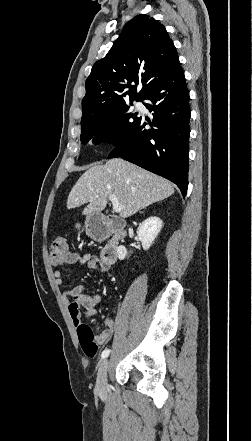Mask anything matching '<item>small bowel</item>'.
Returning a JSON list of instances; mask_svg holds the SVG:
<instances>
[{"label": "small bowel", "mask_w": 252, "mask_h": 441, "mask_svg": "<svg viewBox=\"0 0 252 441\" xmlns=\"http://www.w3.org/2000/svg\"><path fill=\"white\" fill-rule=\"evenodd\" d=\"M76 263H85L90 270L104 272L110 265L106 264L97 253L80 252L69 253L61 262L62 266L73 265ZM55 283L57 286L63 284L62 270L57 269L54 272ZM86 285L79 284L75 287L62 292V298L67 302L70 317L77 327L81 323V316L93 317L97 315V306L101 305L103 297L100 293H86ZM115 319L108 317L104 323V330L95 338L98 343H104L111 339L115 329Z\"/></svg>", "instance_id": "1"}]
</instances>
